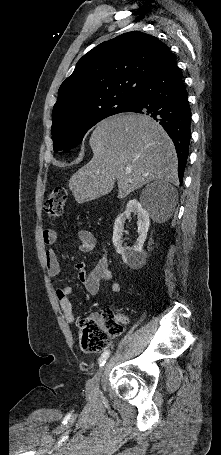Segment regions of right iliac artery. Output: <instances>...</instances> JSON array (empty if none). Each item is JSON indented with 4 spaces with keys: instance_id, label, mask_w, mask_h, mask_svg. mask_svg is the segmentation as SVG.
Masks as SVG:
<instances>
[{
    "instance_id": "right-iliac-artery-1",
    "label": "right iliac artery",
    "mask_w": 221,
    "mask_h": 455,
    "mask_svg": "<svg viewBox=\"0 0 221 455\" xmlns=\"http://www.w3.org/2000/svg\"><path fill=\"white\" fill-rule=\"evenodd\" d=\"M110 355V351L109 350H106L102 353L100 359H99V365L100 366H103L105 363H106V360L108 359Z\"/></svg>"
}]
</instances>
